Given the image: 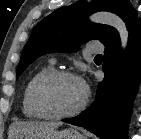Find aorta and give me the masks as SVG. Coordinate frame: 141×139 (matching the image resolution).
Wrapping results in <instances>:
<instances>
[{
	"instance_id": "obj_1",
	"label": "aorta",
	"mask_w": 141,
	"mask_h": 139,
	"mask_svg": "<svg viewBox=\"0 0 141 139\" xmlns=\"http://www.w3.org/2000/svg\"><path fill=\"white\" fill-rule=\"evenodd\" d=\"M91 20L96 23H104L114 27L119 32L122 51L126 49L129 32L125 22L119 16L110 12H98L91 16Z\"/></svg>"
}]
</instances>
